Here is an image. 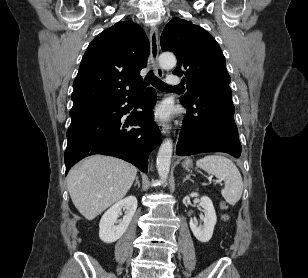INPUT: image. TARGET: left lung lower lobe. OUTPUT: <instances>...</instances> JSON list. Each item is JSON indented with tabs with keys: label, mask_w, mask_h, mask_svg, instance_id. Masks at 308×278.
Returning <instances> with one entry per match:
<instances>
[{
	"label": "left lung lower lobe",
	"mask_w": 308,
	"mask_h": 278,
	"mask_svg": "<svg viewBox=\"0 0 308 278\" xmlns=\"http://www.w3.org/2000/svg\"><path fill=\"white\" fill-rule=\"evenodd\" d=\"M181 103L188 112L177 143V155L204 152H225L236 158L241 155L229 85L206 90L191 103Z\"/></svg>",
	"instance_id": "1"
}]
</instances>
